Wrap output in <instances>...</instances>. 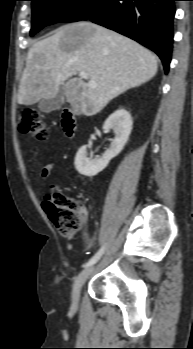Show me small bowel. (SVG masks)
<instances>
[{"label":"small bowel","mask_w":193,"mask_h":349,"mask_svg":"<svg viewBox=\"0 0 193 349\" xmlns=\"http://www.w3.org/2000/svg\"><path fill=\"white\" fill-rule=\"evenodd\" d=\"M53 168H54V163H49V164H47L43 168V170H42V177H43V179H47V178H49L51 176ZM81 214H82V216L84 218H87V210H86V208L81 207Z\"/></svg>","instance_id":"c3829d8e"}]
</instances>
